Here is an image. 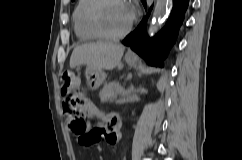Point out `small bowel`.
I'll return each instance as SVG.
<instances>
[{
  "mask_svg": "<svg viewBox=\"0 0 242 160\" xmlns=\"http://www.w3.org/2000/svg\"><path fill=\"white\" fill-rule=\"evenodd\" d=\"M88 106L91 107L89 104H88ZM94 114L98 115L97 112H95ZM106 118L111 119V121L106 122ZM106 118L104 119L106 128H104V127L95 128V129H99L101 131L100 136L96 140L95 144L98 143L99 141H101L102 139H104L108 144H116L120 139V120H119V118L117 116H108ZM68 124H69L70 129L74 132L73 119L70 117L68 118ZM76 135H78V134H76ZM82 145H84V144H82ZM84 146H88V145H84Z\"/></svg>",
  "mask_w": 242,
  "mask_h": 160,
  "instance_id": "small-bowel-1",
  "label": "small bowel"
}]
</instances>
